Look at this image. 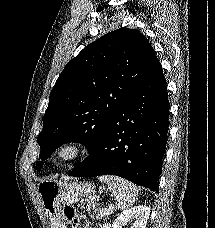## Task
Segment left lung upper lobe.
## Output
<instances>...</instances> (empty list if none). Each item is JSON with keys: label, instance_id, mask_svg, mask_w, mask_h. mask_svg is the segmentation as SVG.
<instances>
[{"label": "left lung upper lobe", "instance_id": "1", "mask_svg": "<svg viewBox=\"0 0 215 228\" xmlns=\"http://www.w3.org/2000/svg\"><path fill=\"white\" fill-rule=\"evenodd\" d=\"M155 59L148 39L135 29L114 30L86 46L58 77L37 138L45 161L60 145L81 142L89 152L142 82ZM37 162L38 171L43 162Z\"/></svg>", "mask_w": 215, "mask_h": 228}]
</instances>
